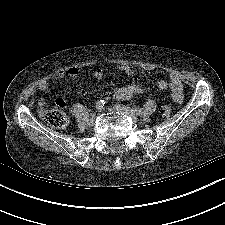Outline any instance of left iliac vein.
Returning <instances> with one entry per match:
<instances>
[{
    "label": "left iliac vein",
    "instance_id": "obj_1",
    "mask_svg": "<svg viewBox=\"0 0 225 225\" xmlns=\"http://www.w3.org/2000/svg\"><path fill=\"white\" fill-rule=\"evenodd\" d=\"M108 110L122 112L129 115L134 121L138 120V115L131 113V111L123 105L115 106L113 108H109Z\"/></svg>",
    "mask_w": 225,
    "mask_h": 225
}]
</instances>
